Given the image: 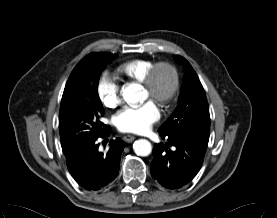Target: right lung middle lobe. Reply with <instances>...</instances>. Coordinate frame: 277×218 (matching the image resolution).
I'll return each mask as SVG.
<instances>
[{"mask_svg": "<svg viewBox=\"0 0 277 218\" xmlns=\"http://www.w3.org/2000/svg\"><path fill=\"white\" fill-rule=\"evenodd\" d=\"M111 60L86 56L76 65L67 81L59 115L61 145L66 156L109 129L99 120L104 109L97 87L101 72Z\"/></svg>", "mask_w": 277, "mask_h": 218, "instance_id": "1", "label": "right lung middle lobe"}]
</instances>
